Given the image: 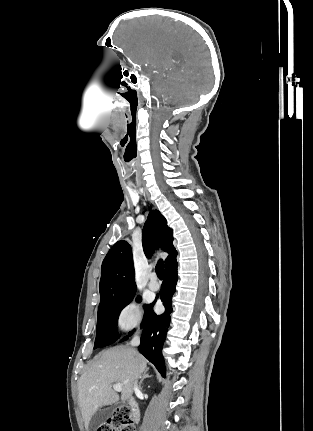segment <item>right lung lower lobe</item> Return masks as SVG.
<instances>
[{"label": "right lung lower lobe", "instance_id": "right-lung-lower-lobe-1", "mask_svg": "<svg viewBox=\"0 0 313 431\" xmlns=\"http://www.w3.org/2000/svg\"><path fill=\"white\" fill-rule=\"evenodd\" d=\"M176 256L165 266V279L160 290V297L165 307V312L161 315H156L153 311L154 303L145 306L142 323L143 332L139 346V352L153 363L163 376H165V363L161 349L166 337L167 326L170 323L172 296L175 293L178 280ZM131 335L132 332H129V336ZM127 339L128 336L124 337L120 342Z\"/></svg>", "mask_w": 313, "mask_h": 431}]
</instances>
